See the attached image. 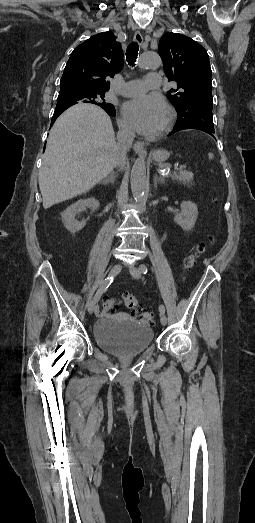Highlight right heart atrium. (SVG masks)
<instances>
[{
    "label": "right heart atrium",
    "instance_id": "d8ad5b80",
    "mask_svg": "<svg viewBox=\"0 0 255 523\" xmlns=\"http://www.w3.org/2000/svg\"><path fill=\"white\" fill-rule=\"evenodd\" d=\"M118 124H119V127L122 131L123 134L127 135V136H130L132 135V130L131 128L129 127V125L127 124V122H125L122 118H119L118 120Z\"/></svg>",
    "mask_w": 255,
    "mask_h": 523
}]
</instances>
